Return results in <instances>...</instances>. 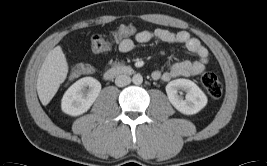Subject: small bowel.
<instances>
[{
    "instance_id": "1",
    "label": "small bowel",
    "mask_w": 267,
    "mask_h": 166,
    "mask_svg": "<svg viewBox=\"0 0 267 166\" xmlns=\"http://www.w3.org/2000/svg\"><path fill=\"white\" fill-rule=\"evenodd\" d=\"M133 39L124 38L121 43H118V50L123 54H127L134 49L136 43H147L152 40H159L161 42L170 44L184 45L186 50L197 57L195 61L183 60L176 62L170 66L167 71H154L152 78L155 81L169 82L176 78H188L199 75L208 63L209 52L201 42L192 37L186 31L172 32L167 29L158 28L155 30L139 31L132 35Z\"/></svg>"
}]
</instances>
